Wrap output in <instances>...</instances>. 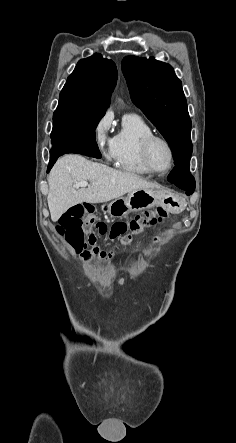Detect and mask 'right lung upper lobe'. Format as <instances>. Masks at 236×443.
I'll list each match as a JSON object with an SVG mask.
<instances>
[{"instance_id":"cb5924a9","label":"right lung upper lobe","mask_w":236,"mask_h":443,"mask_svg":"<svg viewBox=\"0 0 236 443\" xmlns=\"http://www.w3.org/2000/svg\"><path fill=\"white\" fill-rule=\"evenodd\" d=\"M117 81V68L112 60L100 54L81 59L67 78L59 96V108L105 112Z\"/></svg>"}]
</instances>
